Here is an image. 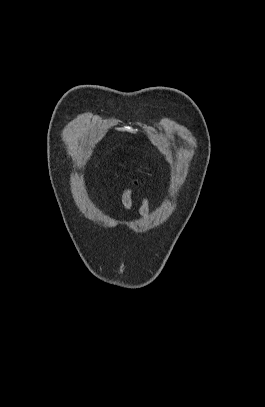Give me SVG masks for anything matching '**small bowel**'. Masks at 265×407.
Here are the masks:
<instances>
[{"mask_svg": "<svg viewBox=\"0 0 265 407\" xmlns=\"http://www.w3.org/2000/svg\"><path fill=\"white\" fill-rule=\"evenodd\" d=\"M134 191L132 189H126L122 194V204L124 210L129 211L133 203ZM139 213L143 219L147 218L150 213V206L148 199H143L139 208Z\"/></svg>", "mask_w": 265, "mask_h": 407, "instance_id": "obj_1", "label": "small bowel"}]
</instances>
